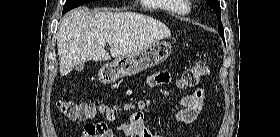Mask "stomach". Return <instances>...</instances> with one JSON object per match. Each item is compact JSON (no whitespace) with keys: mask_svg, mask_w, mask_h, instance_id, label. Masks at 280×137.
Masks as SVG:
<instances>
[{"mask_svg":"<svg viewBox=\"0 0 280 137\" xmlns=\"http://www.w3.org/2000/svg\"><path fill=\"white\" fill-rule=\"evenodd\" d=\"M171 50L172 47L167 42L152 43L135 54L104 64L100 69L99 78L104 83H111L121 77L136 75L165 61Z\"/></svg>","mask_w":280,"mask_h":137,"instance_id":"0dacf381","label":"stomach"}]
</instances>
